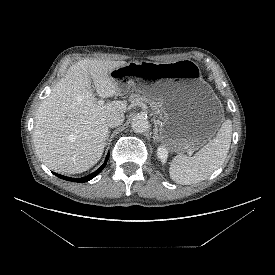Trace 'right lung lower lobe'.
<instances>
[{
	"instance_id": "1",
	"label": "right lung lower lobe",
	"mask_w": 275,
	"mask_h": 275,
	"mask_svg": "<svg viewBox=\"0 0 275 275\" xmlns=\"http://www.w3.org/2000/svg\"><path fill=\"white\" fill-rule=\"evenodd\" d=\"M108 158H109V153L107 154V156L105 158V162L103 163V165L98 170H96L92 174H90V175H88L86 177H83V178H70V177H66V176L60 175V174H56V173H54V174L56 176H58L59 178H62V179L67 180V181L87 182V181L91 180L92 178H94L96 175H98L103 170V168L106 166V162L108 161Z\"/></svg>"
}]
</instances>
